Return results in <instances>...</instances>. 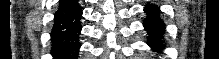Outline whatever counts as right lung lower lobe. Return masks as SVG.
I'll return each instance as SVG.
<instances>
[{"label":"right lung lower lobe","instance_id":"98d812e1","mask_svg":"<svg viewBox=\"0 0 219 59\" xmlns=\"http://www.w3.org/2000/svg\"><path fill=\"white\" fill-rule=\"evenodd\" d=\"M82 10L77 0H61L51 32L54 59H75L80 43L78 35Z\"/></svg>","mask_w":219,"mask_h":59}]
</instances>
